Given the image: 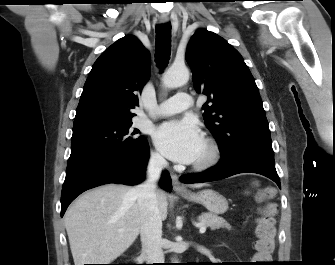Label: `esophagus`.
Instances as JSON below:
<instances>
[{
  "instance_id": "obj_1",
  "label": "esophagus",
  "mask_w": 335,
  "mask_h": 265,
  "mask_svg": "<svg viewBox=\"0 0 335 265\" xmlns=\"http://www.w3.org/2000/svg\"><path fill=\"white\" fill-rule=\"evenodd\" d=\"M161 23H167L169 21V17L167 14H161L159 18ZM171 179H172V184H173V189L176 192H184L186 191V188L180 183L179 178L176 174L172 173L171 174Z\"/></svg>"
}]
</instances>
